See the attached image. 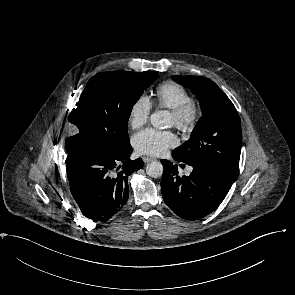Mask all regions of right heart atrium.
<instances>
[{
    "label": "right heart atrium",
    "mask_w": 295,
    "mask_h": 295,
    "mask_svg": "<svg viewBox=\"0 0 295 295\" xmlns=\"http://www.w3.org/2000/svg\"><path fill=\"white\" fill-rule=\"evenodd\" d=\"M152 104L146 94L139 95L130 105L128 111V124L132 129L143 127L150 116Z\"/></svg>",
    "instance_id": "right-heart-atrium-1"
}]
</instances>
